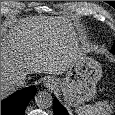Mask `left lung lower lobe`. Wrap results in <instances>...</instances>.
<instances>
[{
  "label": "left lung lower lobe",
  "mask_w": 115,
  "mask_h": 115,
  "mask_svg": "<svg viewBox=\"0 0 115 115\" xmlns=\"http://www.w3.org/2000/svg\"><path fill=\"white\" fill-rule=\"evenodd\" d=\"M54 115H68L66 109L55 99L53 102Z\"/></svg>",
  "instance_id": "0a47b994"
}]
</instances>
